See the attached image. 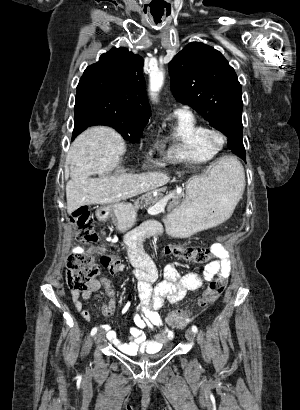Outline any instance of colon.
I'll list each match as a JSON object with an SVG mask.
<instances>
[{
	"label": "colon",
	"instance_id": "5ec220e1",
	"mask_svg": "<svg viewBox=\"0 0 300 410\" xmlns=\"http://www.w3.org/2000/svg\"><path fill=\"white\" fill-rule=\"evenodd\" d=\"M71 222L78 229V237L84 243H97L99 235L91 222L90 211L87 207H80L71 215ZM167 255L191 261L197 264L210 262L215 256L214 249L210 247H194L188 245H167L163 249ZM102 265L111 273H119L123 269L122 260L115 254H103ZM98 267L86 254H76L68 258L66 280L72 292L84 291L91 280L97 275ZM226 287V280L216 279L212 281L200 299V305L216 301ZM190 316L186 311L172 312L168 317V323L174 328H181L189 322Z\"/></svg>",
	"mask_w": 300,
	"mask_h": 410
}]
</instances>
